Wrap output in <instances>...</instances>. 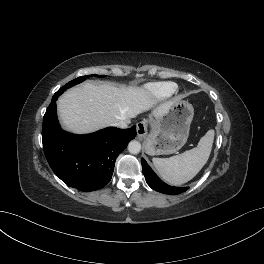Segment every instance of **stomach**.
<instances>
[{"mask_svg":"<svg viewBox=\"0 0 264 264\" xmlns=\"http://www.w3.org/2000/svg\"><path fill=\"white\" fill-rule=\"evenodd\" d=\"M194 116L193 106L184 100H175L170 109L153 121L145 140L149 155H167L178 151L186 143Z\"/></svg>","mask_w":264,"mask_h":264,"instance_id":"1","label":"stomach"}]
</instances>
